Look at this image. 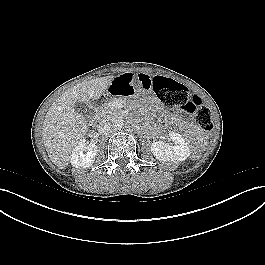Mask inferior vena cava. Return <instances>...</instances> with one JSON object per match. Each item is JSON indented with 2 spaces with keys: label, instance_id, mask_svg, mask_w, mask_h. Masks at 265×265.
Segmentation results:
<instances>
[{
  "label": "inferior vena cava",
  "instance_id": "inferior-vena-cava-1",
  "mask_svg": "<svg viewBox=\"0 0 265 265\" xmlns=\"http://www.w3.org/2000/svg\"><path fill=\"white\" fill-rule=\"evenodd\" d=\"M112 130H113V125L107 119L101 120L100 123L98 124V132L101 135H108L112 132Z\"/></svg>",
  "mask_w": 265,
  "mask_h": 265
}]
</instances>
